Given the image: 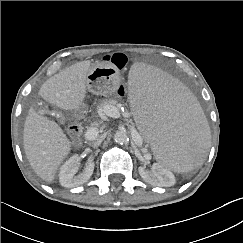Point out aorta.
Masks as SVG:
<instances>
[{"label": "aorta", "mask_w": 243, "mask_h": 243, "mask_svg": "<svg viewBox=\"0 0 243 243\" xmlns=\"http://www.w3.org/2000/svg\"><path fill=\"white\" fill-rule=\"evenodd\" d=\"M114 141L118 144H125L129 138L125 130H118L114 133Z\"/></svg>", "instance_id": "aorta-1"}]
</instances>
